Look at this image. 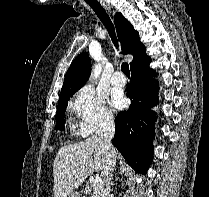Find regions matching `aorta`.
<instances>
[{
    "label": "aorta",
    "mask_w": 209,
    "mask_h": 197,
    "mask_svg": "<svg viewBox=\"0 0 209 197\" xmlns=\"http://www.w3.org/2000/svg\"><path fill=\"white\" fill-rule=\"evenodd\" d=\"M102 71V65L101 64H96L94 68L92 69V74L91 77L93 79H97L99 75L101 74Z\"/></svg>",
    "instance_id": "aorta-1"
}]
</instances>
